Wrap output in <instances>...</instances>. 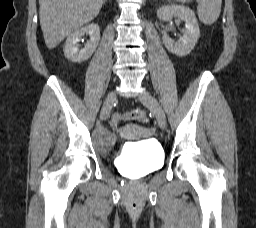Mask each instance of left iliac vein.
Returning <instances> with one entry per match:
<instances>
[{
  "label": "left iliac vein",
  "instance_id": "obj_1",
  "mask_svg": "<svg viewBox=\"0 0 256 228\" xmlns=\"http://www.w3.org/2000/svg\"><path fill=\"white\" fill-rule=\"evenodd\" d=\"M139 98L155 114L159 127L164 130L166 128V116L156 98L148 91H143Z\"/></svg>",
  "mask_w": 256,
  "mask_h": 228
}]
</instances>
